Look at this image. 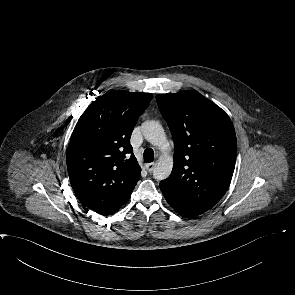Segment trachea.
Wrapping results in <instances>:
<instances>
[{"label":"trachea","mask_w":295,"mask_h":295,"mask_svg":"<svg viewBox=\"0 0 295 295\" xmlns=\"http://www.w3.org/2000/svg\"><path fill=\"white\" fill-rule=\"evenodd\" d=\"M154 160V151L150 148L144 151V162L151 163Z\"/></svg>","instance_id":"obj_1"}]
</instances>
